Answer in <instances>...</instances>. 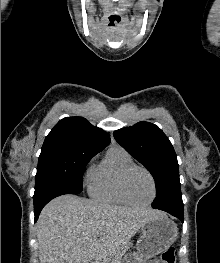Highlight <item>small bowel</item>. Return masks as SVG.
Listing matches in <instances>:
<instances>
[{
	"instance_id": "c3829d8e",
	"label": "small bowel",
	"mask_w": 220,
	"mask_h": 263,
	"mask_svg": "<svg viewBox=\"0 0 220 263\" xmlns=\"http://www.w3.org/2000/svg\"><path fill=\"white\" fill-rule=\"evenodd\" d=\"M151 263H159L158 261H156V260H154L153 262H151Z\"/></svg>"
}]
</instances>
